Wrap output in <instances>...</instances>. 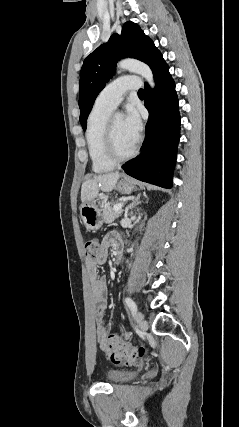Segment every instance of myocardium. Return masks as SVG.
Returning <instances> with one entry per match:
<instances>
[{
	"instance_id": "f54148a6",
	"label": "myocardium",
	"mask_w": 239,
	"mask_h": 427,
	"mask_svg": "<svg viewBox=\"0 0 239 427\" xmlns=\"http://www.w3.org/2000/svg\"><path fill=\"white\" fill-rule=\"evenodd\" d=\"M115 115H110L106 122L105 132H104V154L106 158L114 164L122 163L134 157L138 150V143L136 142L133 149L127 154L121 155L117 152L114 142L113 134V120Z\"/></svg>"
}]
</instances>
